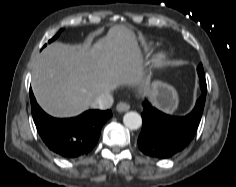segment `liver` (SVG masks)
I'll return each mask as SVG.
<instances>
[{
  "label": "liver",
  "instance_id": "liver-1",
  "mask_svg": "<svg viewBox=\"0 0 236 187\" xmlns=\"http://www.w3.org/2000/svg\"><path fill=\"white\" fill-rule=\"evenodd\" d=\"M142 63L134 32L115 25L93 44L88 40L82 45L55 42L47 46L33 64L31 86L45 112L72 117L121 85H140V92L147 95V85L141 84Z\"/></svg>",
  "mask_w": 236,
  "mask_h": 187
}]
</instances>
